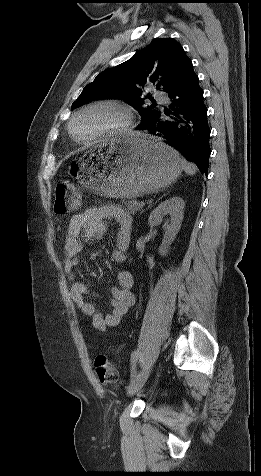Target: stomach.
<instances>
[{
  "label": "stomach",
  "instance_id": "obj_1",
  "mask_svg": "<svg viewBox=\"0 0 261 476\" xmlns=\"http://www.w3.org/2000/svg\"><path fill=\"white\" fill-rule=\"evenodd\" d=\"M70 173L86 188L107 197L132 199L158 192L172 184L182 172L181 158L171 147L153 136L125 135L108 144H98Z\"/></svg>",
  "mask_w": 261,
  "mask_h": 476
}]
</instances>
